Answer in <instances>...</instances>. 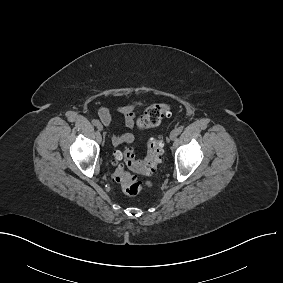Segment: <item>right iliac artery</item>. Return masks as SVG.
I'll use <instances>...</instances> for the list:
<instances>
[{
	"label": "right iliac artery",
	"instance_id": "right-iliac-artery-1",
	"mask_svg": "<svg viewBox=\"0 0 283 283\" xmlns=\"http://www.w3.org/2000/svg\"><path fill=\"white\" fill-rule=\"evenodd\" d=\"M92 124L95 125V126H97L98 124H100V122H99V120H97V119H93V120H92Z\"/></svg>",
	"mask_w": 283,
	"mask_h": 283
}]
</instances>
